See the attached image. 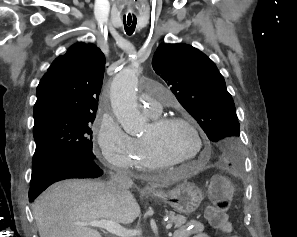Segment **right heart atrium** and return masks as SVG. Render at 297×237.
<instances>
[{
  "mask_svg": "<svg viewBox=\"0 0 297 237\" xmlns=\"http://www.w3.org/2000/svg\"><path fill=\"white\" fill-rule=\"evenodd\" d=\"M96 145L102 160L111 168L129 170L136 161L135 140L130 137L116 119L103 112L96 125Z\"/></svg>",
  "mask_w": 297,
  "mask_h": 237,
  "instance_id": "right-heart-atrium-1",
  "label": "right heart atrium"
}]
</instances>
